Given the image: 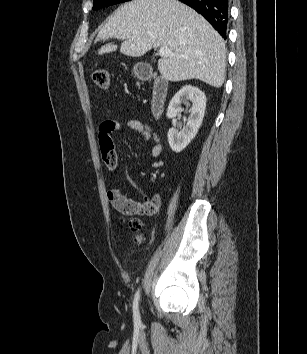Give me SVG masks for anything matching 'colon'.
Here are the masks:
<instances>
[{"label": "colon", "instance_id": "obj_1", "mask_svg": "<svg viewBox=\"0 0 307 354\" xmlns=\"http://www.w3.org/2000/svg\"><path fill=\"white\" fill-rule=\"evenodd\" d=\"M91 78L93 82L102 89H107L110 83V74L106 68H96L91 73ZM120 211L124 212L125 214H133L130 213L127 209H120ZM151 212V208L145 206L137 215H145L146 213ZM128 227L132 232H139L143 227V220L140 217L132 218L129 223ZM142 237L139 235L136 237L135 241L137 243L142 242Z\"/></svg>", "mask_w": 307, "mask_h": 354}]
</instances>
